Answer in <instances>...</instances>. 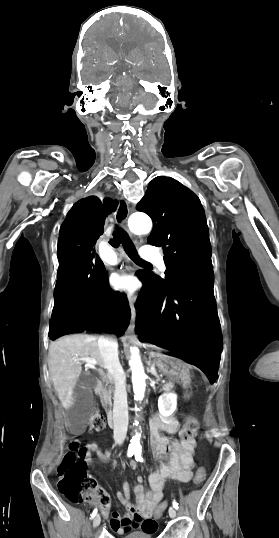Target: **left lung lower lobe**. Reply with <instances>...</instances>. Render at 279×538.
I'll return each mask as SVG.
<instances>
[{
    "instance_id": "1",
    "label": "left lung lower lobe",
    "mask_w": 279,
    "mask_h": 538,
    "mask_svg": "<svg viewBox=\"0 0 279 538\" xmlns=\"http://www.w3.org/2000/svg\"><path fill=\"white\" fill-rule=\"evenodd\" d=\"M142 282L144 287L136 303L135 329L139 335L146 342L190 360L189 363L200 368L214 383L222 337L213 292V272L171 285L165 292L156 291L148 280Z\"/></svg>"
}]
</instances>
